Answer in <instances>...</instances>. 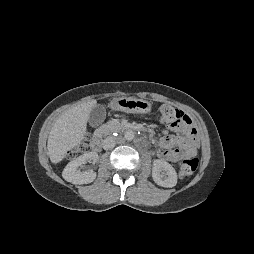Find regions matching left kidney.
Wrapping results in <instances>:
<instances>
[{
  "instance_id": "left-kidney-1",
  "label": "left kidney",
  "mask_w": 254,
  "mask_h": 254,
  "mask_svg": "<svg viewBox=\"0 0 254 254\" xmlns=\"http://www.w3.org/2000/svg\"><path fill=\"white\" fill-rule=\"evenodd\" d=\"M152 178L157 185L162 187L170 188L177 184L175 169L168 162L159 159L153 161Z\"/></svg>"
}]
</instances>
